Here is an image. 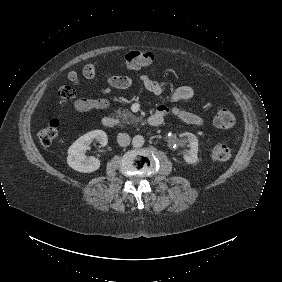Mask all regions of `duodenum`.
<instances>
[{"mask_svg": "<svg viewBox=\"0 0 282 282\" xmlns=\"http://www.w3.org/2000/svg\"><path fill=\"white\" fill-rule=\"evenodd\" d=\"M163 122V118L159 115H152L145 119V123L151 126H158ZM102 126L106 128H116L118 126V121L112 116H104L101 119Z\"/></svg>", "mask_w": 282, "mask_h": 282, "instance_id": "1", "label": "duodenum"}]
</instances>
